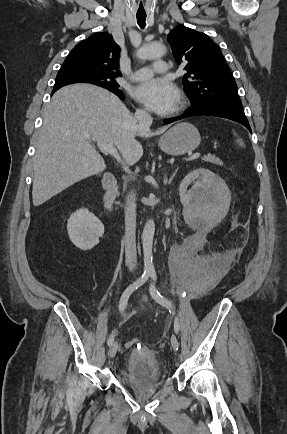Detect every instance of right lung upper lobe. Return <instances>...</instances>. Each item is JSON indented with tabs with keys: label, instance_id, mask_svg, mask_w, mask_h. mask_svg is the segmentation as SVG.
I'll return each mask as SVG.
<instances>
[{
	"label": "right lung upper lobe",
	"instance_id": "1",
	"mask_svg": "<svg viewBox=\"0 0 287 434\" xmlns=\"http://www.w3.org/2000/svg\"><path fill=\"white\" fill-rule=\"evenodd\" d=\"M120 47L112 35L93 34L80 42L68 55L61 69L78 68L102 74L121 75L118 69ZM64 85H55L52 93Z\"/></svg>",
	"mask_w": 287,
	"mask_h": 434
}]
</instances>
